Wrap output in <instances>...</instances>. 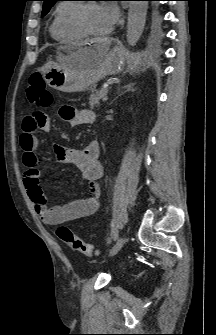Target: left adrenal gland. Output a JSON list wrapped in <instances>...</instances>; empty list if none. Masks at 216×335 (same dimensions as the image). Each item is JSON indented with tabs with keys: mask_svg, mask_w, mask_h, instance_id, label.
Returning <instances> with one entry per match:
<instances>
[{
	"mask_svg": "<svg viewBox=\"0 0 216 335\" xmlns=\"http://www.w3.org/2000/svg\"><path fill=\"white\" fill-rule=\"evenodd\" d=\"M134 85H135L134 83H130V84L122 87V89L124 91L121 93V95H123L124 93L130 92V91H134L135 90ZM118 90H120V88H118Z\"/></svg>",
	"mask_w": 216,
	"mask_h": 335,
	"instance_id": "1",
	"label": "left adrenal gland"
}]
</instances>
